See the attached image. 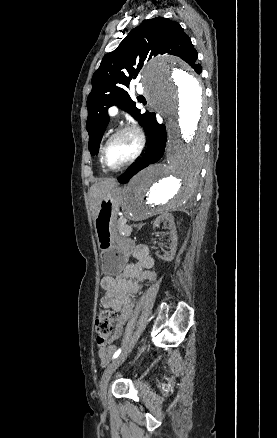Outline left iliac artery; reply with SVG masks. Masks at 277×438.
Here are the masks:
<instances>
[{
    "label": "left iliac artery",
    "instance_id": "44dca946",
    "mask_svg": "<svg viewBox=\"0 0 277 438\" xmlns=\"http://www.w3.org/2000/svg\"><path fill=\"white\" fill-rule=\"evenodd\" d=\"M121 353V349L119 348L113 355V359L117 358Z\"/></svg>",
    "mask_w": 277,
    "mask_h": 438
}]
</instances>
